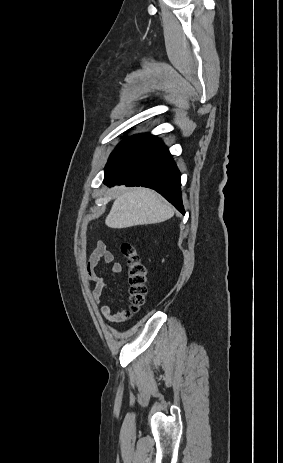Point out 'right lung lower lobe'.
Returning a JSON list of instances; mask_svg holds the SVG:
<instances>
[{
	"label": "right lung lower lobe",
	"mask_w": 283,
	"mask_h": 463,
	"mask_svg": "<svg viewBox=\"0 0 283 463\" xmlns=\"http://www.w3.org/2000/svg\"><path fill=\"white\" fill-rule=\"evenodd\" d=\"M104 182L155 189L184 214L181 175L167 147L151 134L131 136L111 154Z\"/></svg>",
	"instance_id": "98d812e1"
}]
</instances>
